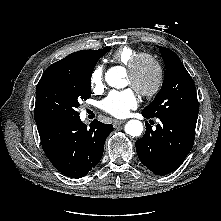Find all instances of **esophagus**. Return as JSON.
<instances>
[{"label":"esophagus","instance_id":"obj_1","mask_svg":"<svg viewBox=\"0 0 221 221\" xmlns=\"http://www.w3.org/2000/svg\"><path fill=\"white\" fill-rule=\"evenodd\" d=\"M123 123H125L124 120H115V121L113 122V125L116 127V126L121 125V124H123Z\"/></svg>","mask_w":221,"mask_h":221}]
</instances>
